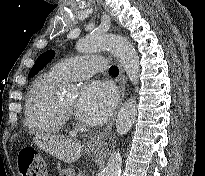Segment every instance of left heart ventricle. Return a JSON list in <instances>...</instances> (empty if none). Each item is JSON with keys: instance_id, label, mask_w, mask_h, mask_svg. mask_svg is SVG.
Instances as JSON below:
<instances>
[{"instance_id": "left-heart-ventricle-1", "label": "left heart ventricle", "mask_w": 205, "mask_h": 176, "mask_svg": "<svg viewBox=\"0 0 205 176\" xmlns=\"http://www.w3.org/2000/svg\"><path fill=\"white\" fill-rule=\"evenodd\" d=\"M59 104L63 108L72 111L76 107V100L73 98L70 100L60 101Z\"/></svg>"}]
</instances>
